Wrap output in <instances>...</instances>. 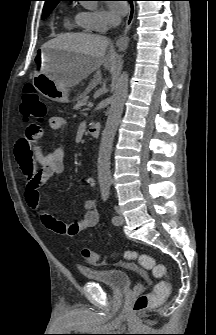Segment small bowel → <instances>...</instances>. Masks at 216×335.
I'll return each mask as SVG.
<instances>
[{"instance_id": "1", "label": "small bowel", "mask_w": 216, "mask_h": 335, "mask_svg": "<svg viewBox=\"0 0 216 335\" xmlns=\"http://www.w3.org/2000/svg\"><path fill=\"white\" fill-rule=\"evenodd\" d=\"M51 129L62 130L66 120L62 116H52L49 120ZM41 124H26L24 135L16 148V155L21 171L26 178L25 201L28 207L37 215L40 222L59 235L75 236L87 229L95 227L99 222V212L93 200L84 203L83 216L70 223L56 219L40 206L39 188L54 175L64 171L66 150L59 146L52 152L45 153L37 146L40 138H44ZM88 188L95 186V178L88 176L84 180Z\"/></svg>"}]
</instances>
